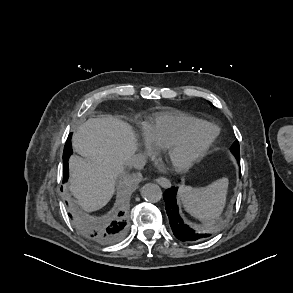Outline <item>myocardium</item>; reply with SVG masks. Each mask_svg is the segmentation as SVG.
<instances>
[{"label": "myocardium", "mask_w": 293, "mask_h": 293, "mask_svg": "<svg viewBox=\"0 0 293 293\" xmlns=\"http://www.w3.org/2000/svg\"><path fill=\"white\" fill-rule=\"evenodd\" d=\"M201 127L209 128L211 130L210 135L201 144L190 147L191 134ZM218 135L219 130L212 123L198 121L191 124L184 130L177 141L162 149L165 160L177 171L188 170L212 147Z\"/></svg>", "instance_id": "1"}]
</instances>
